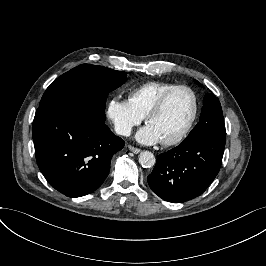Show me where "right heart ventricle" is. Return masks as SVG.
<instances>
[{
	"label": "right heart ventricle",
	"mask_w": 266,
	"mask_h": 266,
	"mask_svg": "<svg viewBox=\"0 0 266 266\" xmlns=\"http://www.w3.org/2000/svg\"><path fill=\"white\" fill-rule=\"evenodd\" d=\"M175 85L164 81L146 82L130 92L129 100L136 111L144 117L160 95Z\"/></svg>",
	"instance_id": "e07e8e85"
}]
</instances>
